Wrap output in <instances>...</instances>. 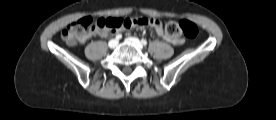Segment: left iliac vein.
Segmentation results:
<instances>
[{
	"instance_id": "1",
	"label": "left iliac vein",
	"mask_w": 276,
	"mask_h": 120,
	"mask_svg": "<svg viewBox=\"0 0 276 120\" xmlns=\"http://www.w3.org/2000/svg\"><path fill=\"white\" fill-rule=\"evenodd\" d=\"M126 42L136 46L140 50L143 49L142 43L136 37H128V38H126Z\"/></svg>"
}]
</instances>
